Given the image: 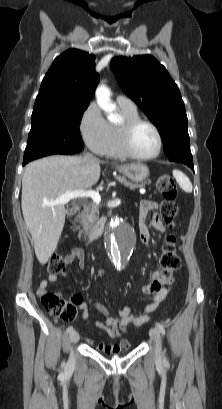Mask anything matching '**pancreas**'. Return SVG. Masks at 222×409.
<instances>
[{
  "mask_svg": "<svg viewBox=\"0 0 222 409\" xmlns=\"http://www.w3.org/2000/svg\"><path fill=\"white\" fill-rule=\"evenodd\" d=\"M120 182H123L126 186L130 187L131 189L134 188H143L146 183L141 184H133L132 182H128L125 177L116 176L115 177ZM150 183V181L148 182ZM79 222L82 226V229L79 231V236L81 237L82 234L88 236L89 238L94 236V228L96 222L99 219V208L97 205L93 203L86 204L84 206V210L79 214ZM80 228V227H78Z\"/></svg>",
  "mask_w": 222,
  "mask_h": 409,
  "instance_id": "cf45deb5",
  "label": "pancreas"
}]
</instances>
